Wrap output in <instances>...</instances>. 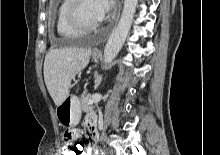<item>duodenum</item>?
Instances as JSON below:
<instances>
[{"label":"duodenum","instance_id":"obj_1","mask_svg":"<svg viewBox=\"0 0 220 155\" xmlns=\"http://www.w3.org/2000/svg\"><path fill=\"white\" fill-rule=\"evenodd\" d=\"M90 133L91 135L96 138L98 135V129H97V124L93 123L90 127Z\"/></svg>","mask_w":220,"mask_h":155}]
</instances>
